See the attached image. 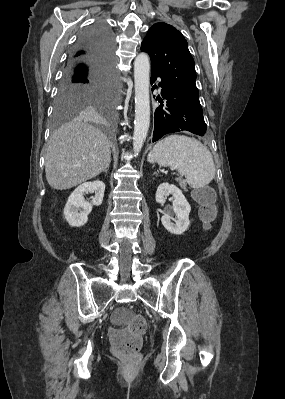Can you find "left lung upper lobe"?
Masks as SVG:
<instances>
[{"label":"left lung upper lobe","instance_id":"5c2ea615","mask_svg":"<svg viewBox=\"0 0 285 399\" xmlns=\"http://www.w3.org/2000/svg\"><path fill=\"white\" fill-rule=\"evenodd\" d=\"M141 51L151 58V67L168 78L200 110L199 92L196 87L194 60L183 35L172 25L154 24L142 41Z\"/></svg>","mask_w":285,"mask_h":399}]
</instances>
